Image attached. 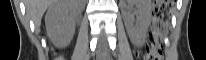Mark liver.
I'll return each instance as SVG.
<instances>
[{"label":"liver","mask_w":206,"mask_h":60,"mask_svg":"<svg viewBox=\"0 0 206 60\" xmlns=\"http://www.w3.org/2000/svg\"><path fill=\"white\" fill-rule=\"evenodd\" d=\"M67 2L68 0H26L25 1L26 12L27 15L33 20L35 26L39 27L41 24V19L49 6L53 4L63 5ZM70 2L72 4H76L79 1H70ZM65 16L67 17L66 13Z\"/></svg>","instance_id":"1"}]
</instances>
